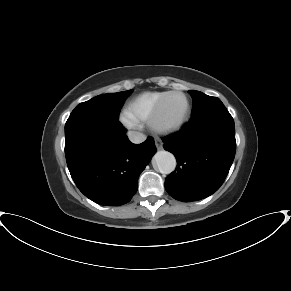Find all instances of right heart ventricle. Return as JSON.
<instances>
[{"instance_id":"right-heart-ventricle-1","label":"right heart ventricle","mask_w":291,"mask_h":291,"mask_svg":"<svg viewBox=\"0 0 291 291\" xmlns=\"http://www.w3.org/2000/svg\"><path fill=\"white\" fill-rule=\"evenodd\" d=\"M168 91L144 92L126 102V113L135 122L148 121L157 103Z\"/></svg>"}]
</instances>
